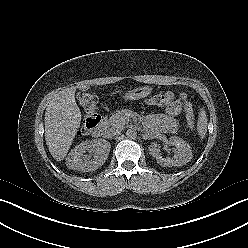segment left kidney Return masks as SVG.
I'll list each match as a JSON object with an SVG mask.
<instances>
[{
    "label": "left kidney",
    "mask_w": 248,
    "mask_h": 248,
    "mask_svg": "<svg viewBox=\"0 0 248 248\" xmlns=\"http://www.w3.org/2000/svg\"><path fill=\"white\" fill-rule=\"evenodd\" d=\"M169 144L174 146V156L163 158L160 154V147L157 143H152L149 146L150 154L156 158L157 163L164 167H180L186 165L192 159V150L189 144L182 138L171 136Z\"/></svg>",
    "instance_id": "obj_1"
}]
</instances>
